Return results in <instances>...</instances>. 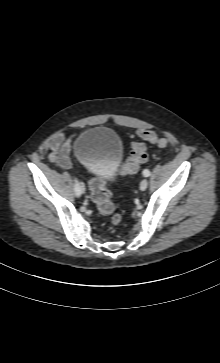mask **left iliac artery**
<instances>
[{
  "mask_svg": "<svg viewBox=\"0 0 220 363\" xmlns=\"http://www.w3.org/2000/svg\"><path fill=\"white\" fill-rule=\"evenodd\" d=\"M143 176H144V177H148V176H150V171H149L148 169H145V170L143 171Z\"/></svg>",
  "mask_w": 220,
  "mask_h": 363,
  "instance_id": "left-iliac-artery-1",
  "label": "left iliac artery"
}]
</instances>
